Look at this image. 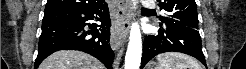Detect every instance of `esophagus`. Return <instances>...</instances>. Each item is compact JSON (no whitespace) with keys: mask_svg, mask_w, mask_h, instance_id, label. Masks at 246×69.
I'll return each mask as SVG.
<instances>
[{"mask_svg":"<svg viewBox=\"0 0 246 69\" xmlns=\"http://www.w3.org/2000/svg\"><path fill=\"white\" fill-rule=\"evenodd\" d=\"M130 17H131V1L130 0H120L117 10V20L116 24L111 30V47L117 50L126 40L129 33L130 27Z\"/></svg>","mask_w":246,"mask_h":69,"instance_id":"1","label":"esophagus"}]
</instances>
